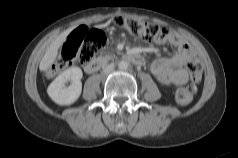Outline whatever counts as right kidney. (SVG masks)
Instances as JSON below:
<instances>
[{"instance_id": "right-kidney-1", "label": "right kidney", "mask_w": 238, "mask_h": 158, "mask_svg": "<svg viewBox=\"0 0 238 158\" xmlns=\"http://www.w3.org/2000/svg\"><path fill=\"white\" fill-rule=\"evenodd\" d=\"M83 76L79 67H70L59 74L48 86L47 93L49 97L58 105H71L81 95ZM71 84L67 87V82Z\"/></svg>"}]
</instances>
